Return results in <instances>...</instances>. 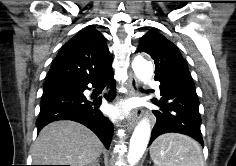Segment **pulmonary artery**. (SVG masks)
<instances>
[{
    "label": "pulmonary artery",
    "mask_w": 236,
    "mask_h": 166,
    "mask_svg": "<svg viewBox=\"0 0 236 166\" xmlns=\"http://www.w3.org/2000/svg\"><path fill=\"white\" fill-rule=\"evenodd\" d=\"M157 94H160L159 88H156Z\"/></svg>",
    "instance_id": "1"
}]
</instances>
